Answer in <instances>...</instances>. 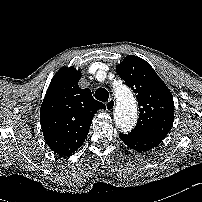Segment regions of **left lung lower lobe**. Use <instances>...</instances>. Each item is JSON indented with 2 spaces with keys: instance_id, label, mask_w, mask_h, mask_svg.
<instances>
[{
  "instance_id": "0a47b994",
  "label": "left lung lower lobe",
  "mask_w": 202,
  "mask_h": 202,
  "mask_svg": "<svg viewBox=\"0 0 202 202\" xmlns=\"http://www.w3.org/2000/svg\"><path fill=\"white\" fill-rule=\"evenodd\" d=\"M119 137L128 147L136 151L150 150L157 147L162 142L159 138L140 136L132 132L129 134L120 133Z\"/></svg>"
}]
</instances>
